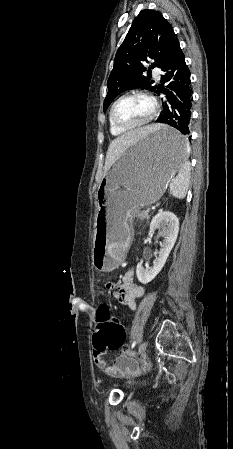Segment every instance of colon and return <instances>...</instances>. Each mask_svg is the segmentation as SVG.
<instances>
[{
	"label": "colon",
	"mask_w": 233,
	"mask_h": 449,
	"mask_svg": "<svg viewBox=\"0 0 233 449\" xmlns=\"http://www.w3.org/2000/svg\"><path fill=\"white\" fill-rule=\"evenodd\" d=\"M96 318L93 320L96 331L93 336L95 349L103 354L123 348L126 344V330L120 320L106 309L97 310Z\"/></svg>",
	"instance_id": "colon-1"
}]
</instances>
